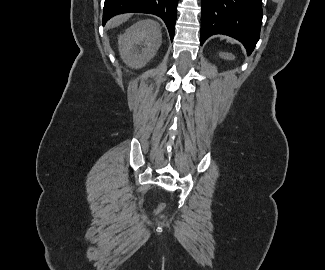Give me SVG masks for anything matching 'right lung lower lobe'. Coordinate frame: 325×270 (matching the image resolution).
Returning <instances> with one entry per match:
<instances>
[{
	"label": "right lung lower lobe",
	"mask_w": 325,
	"mask_h": 270,
	"mask_svg": "<svg viewBox=\"0 0 325 270\" xmlns=\"http://www.w3.org/2000/svg\"><path fill=\"white\" fill-rule=\"evenodd\" d=\"M178 0H105L103 12V25L111 17L128 12L154 14L165 22L171 40L177 16Z\"/></svg>",
	"instance_id": "obj_1"
}]
</instances>
